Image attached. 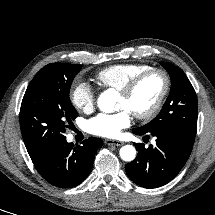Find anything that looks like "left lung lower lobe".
I'll return each mask as SVG.
<instances>
[{"label":"left lung lower lobe","instance_id":"0a47b994","mask_svg":"<svg viewBox=\"0 0 215 215\" xmlns=\"http://www.w3.org/2000/svg\"><path fill=\"white\" fill-rule=\"evenodd\" d=\"M133 133L156 138V145L148 148L134 143L137 157L125 166L128 177L144 188H157L171 181L189 158L195 140V135L172 127L151 131L134 129Z\"/></svg>","mask_w":215,"mask_h":215}]
</instances>
